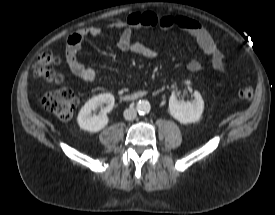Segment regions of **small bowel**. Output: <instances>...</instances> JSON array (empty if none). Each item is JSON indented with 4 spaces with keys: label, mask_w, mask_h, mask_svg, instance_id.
Segmentation results:
<instances>
[{
    "label": "small bowel",
    "mask_w": 275,
    "mask_h": 215,
    "mask_svg": "<svg viewBox=\"0 0 275 215\" xmlns=\"http://www.w3.org/2000/svg\"><path fill=\"white\" fill-rule=\"evenodd\" d=\"M152 27H159L164 30L178 28L185 31L195 39L200 49L211 58L215 70L219 72L228 70L224 54L218 49L210 33L197 20L177 14H159L155 11L136 12L130 14L125 20L111 22L104 28L93 26L73 32L67 40L65 62L74 75L86 83H94L97 78L96 71L84 65L78 54L86 37H97L104 30L121 31L118 41L120 50L137 54L146 59H156L158 53L154 49L132 41V33L135 29ZM201 66L199 59H192L188 63V69L193 72L200 70Z\"/></svg>",
    "instance_id": "obj_1"
}]
</instances>
